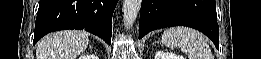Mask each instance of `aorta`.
<instances>
[{
    "label": "aorta",
    "mask_w": 261,
    "mask_h": 59,
    "mask_svg": "<svg viewBox=\"0 0 261 59\" xmlns=\"http://www.w3.org/2000/svg\"><path fill=\"white\" fill-rule=\"evenodd\" d=\"M141 0H124L122 6V16L125 28L133 26L141 7Z\"/></svg>",
    "instance_id": "obj_1"
}]
</instances>
